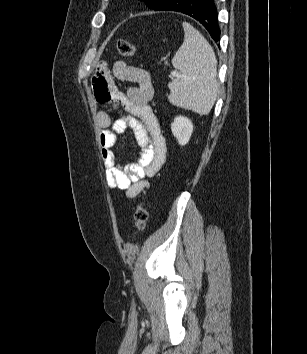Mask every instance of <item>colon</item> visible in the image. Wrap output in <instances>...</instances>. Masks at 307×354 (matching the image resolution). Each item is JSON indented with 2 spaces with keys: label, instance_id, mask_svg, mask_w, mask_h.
<instances>
[{
  "label": "colon",
  "instance_id": "obj_1",
  "mask_svg": "<svg viewBox=\"0 0 307 354\" xmlns=\"http://www.w3.org/2000/svg\"><path fill=\"white\" fill-rule=\"evenodd\" d=\"M117 49L120 55L125 58H131L134 56L135 48L133 44L125 39H120L117 42ZM149 213L147 207L143 202H139L135 206L134 211V227L137 231L145 229L148 222Z\"/></svg>",
  "mask_w": 307,
  "mask_h": 354
}]
</instances>
